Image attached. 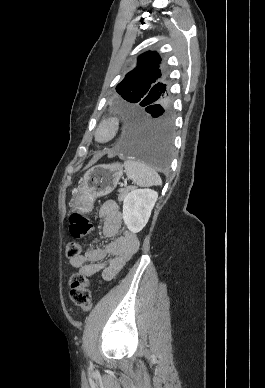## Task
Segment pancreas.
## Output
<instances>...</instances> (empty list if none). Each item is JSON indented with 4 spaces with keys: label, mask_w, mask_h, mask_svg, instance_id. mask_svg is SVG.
I'll use <instances>...</instances> for the list:
<instances>
[{
    "label": "pancreas",
    "mask_w": 265,
    "mask_h": 388,
    "mask_svg": "<svg viewBox=\"0 0 265 388\" xmlns=\"http://www.w3.org/2000/svg\"><path fill=\"white\" fill-rule=\"evenodd\" d=\"M132 188H120V190H118V192H120L119 194V202H122V200H124L125 196H127L128 192H131Z\"/></svg>",
    "instance_id": "obj_1"
}]
</instances>
